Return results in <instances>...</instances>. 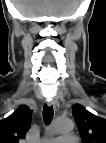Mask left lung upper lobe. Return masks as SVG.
Masks as SVG:
<instances>
[{
	"label": "left lung upper lobe",
	"instance_id": "1",
	"mask_svg": "<svg viewBox=\"0 0 106 143\" xmlns=\"http://www.w3.org/2000/svg\"><path fill=\"white\" fill-rule=\"evenodd\" d=\"M72 113L84 143H106V119L92 114L80 104L72 106Z\"/></svg>",
	"mask_w": 106,
	"mask_h": 143
}]
</instances>
